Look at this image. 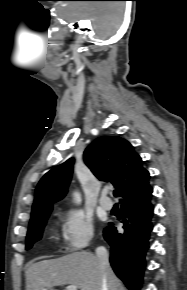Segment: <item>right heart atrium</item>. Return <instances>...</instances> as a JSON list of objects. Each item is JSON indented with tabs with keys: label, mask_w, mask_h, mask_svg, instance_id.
Here are the masks:
<instances>
[{
	"label": "right heart atrium",
	"mask_w": 187,
	"mask_h": 290,
	"mask_svg": "<svg viewBox=\"0 0 187 290\" xmlns=\"http://www.w3.org/2000/svg\"><path fill=\"white\" fill-rule=\"evenodd\" d=\"M63 241L70 252H77L87 247L93 239L92 220L81 210H69L61 215Z\"/></svg>",
	"instance_id": "1"
}]
</instances>
